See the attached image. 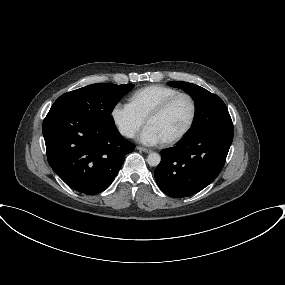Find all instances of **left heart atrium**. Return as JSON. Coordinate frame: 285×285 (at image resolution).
<instances>
[{"mask_svg":"<svg viewBox=\"0 0 285 285\" xmlns=\"http://www.w3.org/2000/svg\"><path fill=\"white\" fill-rule=\"evenodd\" d=\"M139 142L145 145H157L163 142L160 135L150 126H146L145 129L138 136Z\"/></svg>","mask_w":285,"mask_h":285,"instance_id":"39dd6f15","label":"left heart atrium"}]
</instances>
